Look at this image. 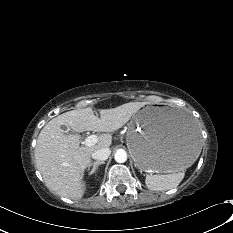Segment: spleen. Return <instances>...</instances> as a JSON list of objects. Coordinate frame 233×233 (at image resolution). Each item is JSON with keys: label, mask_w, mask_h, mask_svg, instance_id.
I'll return each instance as SVG.
<instances>
[{"label": "spleen", "mask_w": 233, "mask_h": 233, "mask_svg": "<svg viewBox=\"0 0 233 233\" xmlns=\"http://www.w3.org/2000/svg\"><path fill=\"white\" fill-rule=\"evenodd\" d=\"M183 177V172L164 175L149 174L146 176L145 184L150 190L165 191L177 187Z\"/></svg>", "instance_id": "1"}]
</instances>
